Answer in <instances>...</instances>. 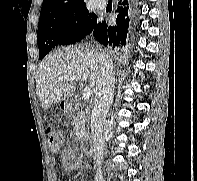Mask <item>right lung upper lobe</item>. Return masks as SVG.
Returning <instances> with one entry per match:
<instances>
[{"label": "right lung upper lobe", "instance_id": "cb5924a9", "mask_svg": "<svg viewBox=\"0 0 197 181\" xmlns=\"http://www.w3.org/2000/svg\"><path fill=\"white\" fill-rule=\"evenodd\" d=\"M84 0H44L40 19L84 8Z\"/></svg>", "mask_w": 197, "mask_h": 181}]
</instances>
